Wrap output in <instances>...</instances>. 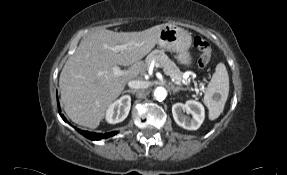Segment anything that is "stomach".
Returning a JSON list of instances; mask_svg holds the SVG:
<instances>
[{"instance_id":"1","label":"stomach","mask_w":287,"mask_h":175,"mask_svg":"<svg viewBox=\"0 0 287 175\" xmlns=\"http://www.w3.org/2000/svg\"><path fill=\"white\" fill-rule=\"evenodd\" d=\"M191 41V35L187 30L171 24L164 26L158 36V45L171 53H175L177 61L185 66L192 64V56L189 52Z\"/></svg>"}]
</instances>
